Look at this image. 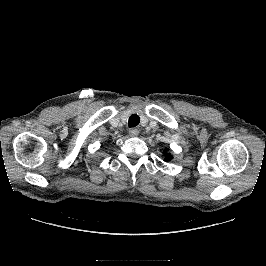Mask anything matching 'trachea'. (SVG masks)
<instances>
[{"instance_id": "trachea-1", "label": "trachea", "mask_w": 266, "mask_h": 266, "mask_svg": "<svg viewBox=\"0 0 266 266\" xmlns=\"http://www.w3.org/2000/svg\"><path fill=\"white\" fill-rule=\"evenodd\" d=\"M139 122H140V118L137 114H132L129 117V121H128L129 127H135L139 124Z\"/></svg>"}]
</instances>
